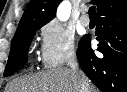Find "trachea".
Returning a JSON list of instances; mask_svg holds the SVG:
<instances>
[{
  "instance_id": "3493384b",
  "label": "trachea",
  "mask_w": 127,
  "mask_h": 92,
  "mask_svg": "<svg viewBox=\"0 0 127 92\" xmlns=\"http://www.w3.org/2000/svg\"><path fill=\"white\" fill-rule=\"evenodd\" d=\"M88 13H89V16H90V17H95V16H96L95 6H91V7L89 8Z\"/></svg>"
}]
</instances>
